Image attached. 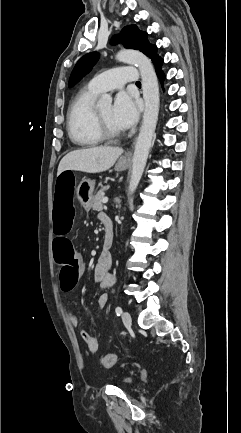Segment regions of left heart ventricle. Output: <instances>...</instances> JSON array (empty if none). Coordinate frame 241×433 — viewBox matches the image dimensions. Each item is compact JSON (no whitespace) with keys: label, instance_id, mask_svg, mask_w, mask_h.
<instances>
[{"label":"left heart ventricle","instance_id":"obj_1","mask_svg":"<svg viewBox=\"0 0 241 433\" xmlns=\"http://www.w3.org/2000/svg\"><path fill=\"white\" fill-rule=\"evenodd\" d=\"M97 110H98V113L100 114L101 118L103 119V121L105 122V124L108 126L109 129H111L112 131H117V132L120 131L112 121V117H111L112 107H111V105H104L102 107H99Z\"/></svg>","mask_w":241,"mask_h":433}]
</instances>
